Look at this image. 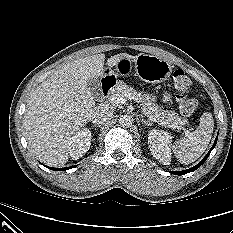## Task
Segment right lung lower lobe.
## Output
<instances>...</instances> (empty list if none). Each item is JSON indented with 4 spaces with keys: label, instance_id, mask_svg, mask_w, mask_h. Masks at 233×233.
I'll return each instance as SVG.
<instances>
[{
    "label": "right lung lower lobe",
    "instance_id": "obj_1",
    "mask_svg": "<svg viewBox=\"0 0 233 233\" xmlns=\"http://www.w3.org/2000/svg\"><path fill=\"white\" fill-rule=\"evenodd\" d=\"M74 166L72 167H66V168H52V167H48L49 169H52V170H67V169H70V168H73Z\"/></svg>",
    "mask_w": 233,
    "mask_h": 233
}]
</instances>
